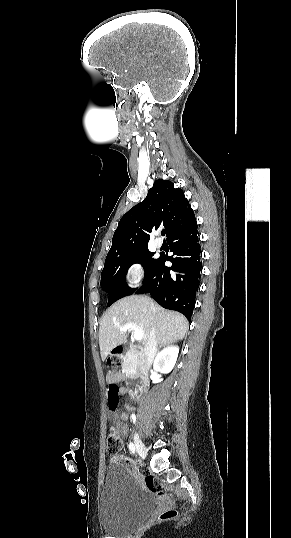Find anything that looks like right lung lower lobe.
Segmentation results:
<instances>
[{
  "mask_svg": "<svg viewBox=\"0 0 291 538\" xmlns=\"http://www.w3.org/2000/svg\"><path fill=\"white\" fill-rule=\"evenodd\" d=\"M167 241L174 256H160L135 293H150L162 307L178 311L190 319L201 279L196 221L169 236ZM165 261H171L172 266L166 267Z\"/></svg>",
  "mask_w": 291,
  "mask_h": 538,
  "instance_id": "98d812e1",
  "label": "right lung lower lobe"
}]
</instances>
